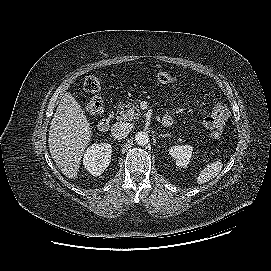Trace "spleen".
I'll list each match as a JSON object with an SVG mask.
<instances>
[{"label":"spleen","mask_w":271,"mask_h":271,"mask_svg":"<svg viewBox=\"0 0 271 271\" xmlns=\"http://www.w3.org/2000/svg\"><path fill=\"white\" fill-rule=\"evenodd\" d=\"M223 163L218 160L208 164L198 175L196 183L204 184L214 179L222 170Z\"/></svg>","instance_id":"spleen-1"}]
</instances>
